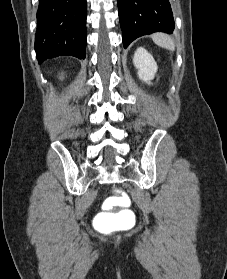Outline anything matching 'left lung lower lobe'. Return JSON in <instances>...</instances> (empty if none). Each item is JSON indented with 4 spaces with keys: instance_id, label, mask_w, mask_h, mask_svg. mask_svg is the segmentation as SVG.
<instances>
[{
    "instance_id": "obj_1",
    "label": "left lung lower lobe",
    "mask_w": 227,
    "mask_h": 279,
    "mask_svg": "<svg viewBox=\"0 0 227 279\" xmlns=\"http://www.w3.org/2000/svg\"><path fill=\"white\" fill-rule=\"evenodd\" d=\"M117 1L124 48L143 35L173 32L174 19L169 0Z\"/></svg>"
}]
</instances>
